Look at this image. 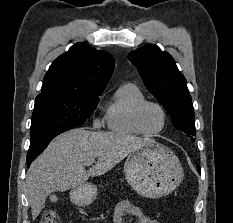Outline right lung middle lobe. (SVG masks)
Returning <instances> with one entry per match:
<instances>
[{
	"label": "right lung middle lobe",
	"mask_w": 233,
	"mask_h": 223,
	"mask_svg": "<svg viewBox=\"0 0 233 223\" xmlns=\"http://www.w3.org/2000/svg\"><path fill=\"white\" fill-rule=\"evenodd\" d=\"M99 95L46 94L37 96L30 129L28 155L40 154L57 135L80 126L98 104Z\"/></svg>",
	"instance_id": "1"
}]
</instances>
